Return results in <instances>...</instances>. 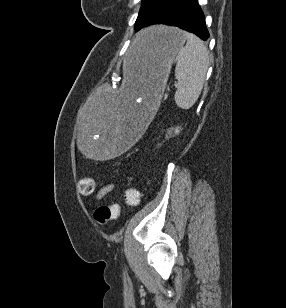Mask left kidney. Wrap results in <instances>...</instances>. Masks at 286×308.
Listing matches in <instances>:
<instances>
[{
	"instance_id": "1",
	"label": "left kidney",
	"mask_w": 286,
	"mask_h": 308,
	"mask_svg": "<svg viewBox=\"0 0 286 308\" xmlns=\"http://www.w3.org/2000/svg\"><path fill=\"white\" fill-rule=\"evenodd\" d=\"M173 130H174L175 134H179L181 129H180L179 127H176V128L173 129Z\"/></svg>"
}]
</instances>
